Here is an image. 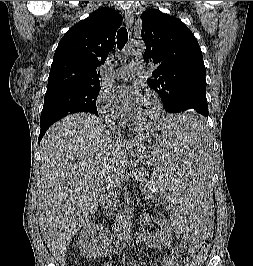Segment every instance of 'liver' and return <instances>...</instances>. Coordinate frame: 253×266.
<instances>
[{"instance_id":"obj_1","label":"liver","mask_w":253,"mask_h":266,"mask_svg":"<svg viewBox=\"0 0 253 266\" xmlns=\"http://www.w3.org/2000/svg\"><path fill=\"white\" fill-rule=\"evenodd\" d=\"M145 139L111 136L86 113L69 115L48 130L41 141L38 212L41 233L57 261H64L72 237L97 210L101 188L120 179L128 149Z\"/></svg>"}]
</instances>
